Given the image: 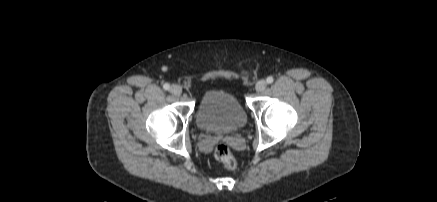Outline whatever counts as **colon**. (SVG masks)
<instances>
[{"mask_svg":"<svg viewBox=\"0 0 437 202\" xmlns=\"http://www.w3.org/2000/svg\"><path fill=\"white\" fill-rule=\"evenodd\" d=\"M215 159L222 163L228 169H235L237 167V161L234 157L231 149L225 143H220L214 150Z\"/></svg>","mask_w":437,"mask_h":202,"instance_id":"colon-1","label":"colon"}]
</instances>
